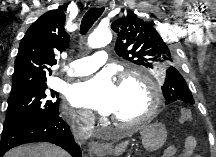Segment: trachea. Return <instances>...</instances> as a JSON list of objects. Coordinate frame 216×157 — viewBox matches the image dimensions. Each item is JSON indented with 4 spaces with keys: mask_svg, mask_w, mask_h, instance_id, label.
Masks as SVG:
<instances>
[{
    "mask_svg": "<svg viewBox=\"0 0 216 157\" xmlns=\"http://www.w3.org/2000/svg\"><path fill=\"white\" fill-rule=\"evenodd\" d=\"M104 8L93 7L90 8L87 13L84 15L81 21L80 32L81 34H85L92 25L96 22V20L102 15Z\"/></svg>",
    "mask_w": 216,
    "mask_h": 157,
    "instance_id": "1",
    "label": "trachea"
}]
</instances>
